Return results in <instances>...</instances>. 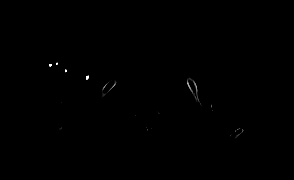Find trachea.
Segmentation results:
<instances>
[{
    "instance_id": "trachea-1",
    "label": "trachea",
    "mask_w": 294,
    "mask_h": 180,
    "mask_svg": "<svg viewBox=\"0 0 294 180\" xmlns=\"http://www.w3.org/2000/svg\"><path fill=\"white\" fill-rule=\"evenodd\" d=\"M150 78H151L152 82L157 83L159 81V77L154 75V73L150 74Z\"/></svg>"
}]
</instances>
